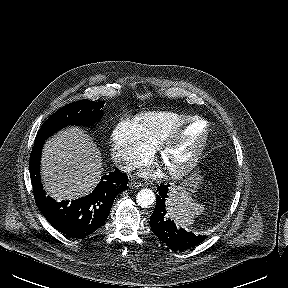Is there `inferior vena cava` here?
<instances>
[{"label": "inferior vena cava", "instance_id": "obj_1", "mask_svg": "<svg viewBox=\"0 0 288 288\" xmlns=\"http://www.w3.org/2000/svg\"><path fill=\"white\" fill-rule=\"evenodd\" d=\"M115 165L124 172H130L136 167L135 164L129 160H117L115 161Z\"/></svg>", "mask_w": 288, "mask_h": 288}]
</instances>
